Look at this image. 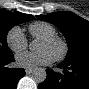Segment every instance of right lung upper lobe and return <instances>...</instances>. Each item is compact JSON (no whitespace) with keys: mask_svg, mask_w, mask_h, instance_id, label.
Listing matches in <instances>:
<instances>
[{"mask_svg":"<svg viewBox=\"0 0 89 89\" xmlns=\"http://www.w3.org/2000/svg\"><path fill=\"white\" fill-rule=\"evenodd\" d=\"M11 13H12V12H11ZM13 14H16V15H18V16L24 18V19H27L28 21L35 19L34 16L29 15V14H23V13H19V12H14Z\"/></svg>","mask_w":89,"mask_h":89,"instance_id":"right-lung-upper-lobe-1","label":"right lung upper lobe"}]
</instances>
